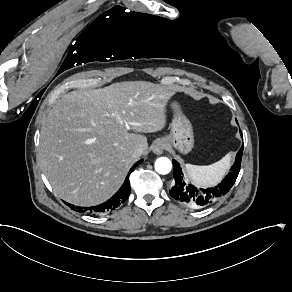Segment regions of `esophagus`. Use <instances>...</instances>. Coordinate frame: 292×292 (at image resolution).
<instances>
[{
	"mask_svg": "<svg viewBox=\"0 0 292 292\" xmlns=\"http://www.w3.org/2000/svg\"><path fill=\"white\" fill-rule=\"evenodd\" d=\"M165 149V142L163 139H158L155 141L153 146V152L157 155L162 154Z\"/></svg>",
	"mask_w": 292,
	"mask_h": 292,
	"instance_id": "34e87169",
	"label": "esophagus"
}]
</instances>
